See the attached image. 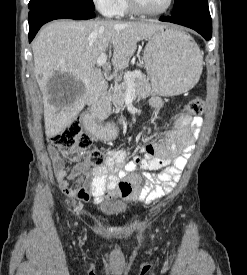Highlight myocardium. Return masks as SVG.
Here are the masks:
<instances>
[{
	"instance_id": "1",
	"label": "myocardium",
	"mask_w": 247,
	"mask_h": 275,
	"mask_svg": "<svg viewBox=\"0 0 247 275\" xmlns=\"http://www.w3.org/2000/svg\"><path fill=\"white\" fill-rule=\"evenodd\" d=\"M129 7L132 12L139 14V15H145V16H157L166 13L174 3V0H169L168 4L160 10H148L146 9L140 2V0H127Z\"/></svg>"
}]
</instances>
